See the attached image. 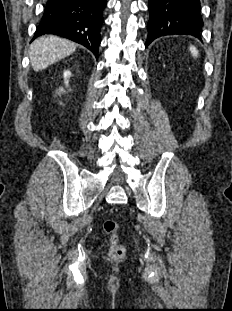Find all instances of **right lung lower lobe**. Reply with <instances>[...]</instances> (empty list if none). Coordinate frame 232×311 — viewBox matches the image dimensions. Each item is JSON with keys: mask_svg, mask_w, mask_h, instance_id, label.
Masks as SVG:
<instances>
[{"mask_svg": "<svg viewBox=\"0 0 232 311\" xmlns=\"http://www.w3.org/2000/svg\"><path fill=\"white\" fill-rule=\"evenodd\" d=\"M106 0H48L34 38L55 34L75 41L97 57Z\"/></svg>", "mask_w": 232, "mask_h": 311, "instance_id": "obj_1", "label": "right lung lower lobe"}]
</instances>
